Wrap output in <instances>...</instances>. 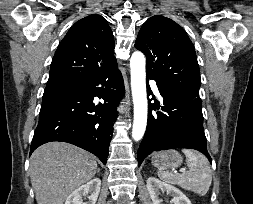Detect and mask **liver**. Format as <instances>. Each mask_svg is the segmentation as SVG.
Instances as JSON below:
<instances>
[{
    "instance_id": "6515ba94",
    "label": "liver",
    "mask_w": 253,
    "mask_h": 204,
    "mask_svg": "<svg viewBox=\"0 0 253 204\" xmlns=\"http://www.w3.org/2000/svg\"><path fill=\"white\" fill-rule=\"evenodd\" d=\"M96 171L95 157L74 145L49 142L38 147L30 158V179L37 204H63Z\"/></svg>"
}]
</instances>
